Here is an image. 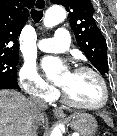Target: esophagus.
Returning a JSON list of instances; mask_svg holds the SVG:
<instances>
[{
    "instance_id": "34e87169",
    "label": "esophagus",
    "mask_w": 117,
    "mask_h": 136,
    "mask_svg": "<svg viewBox=\"0 0 117 136\" xmlns=\"http://www.w3.org/2000/svg\"><path fill=\"white\" fill-rule=\"evenodd\" d=\"M37 2L41 6V9L36 7L38 10H44L46 8V1L45 0H36L35 1V6H36ZM54 115L56 117H60V118H64L65 117L64 112L61 109H59V108H55L54 109Z\"/></svg>"
}]
</instances>
